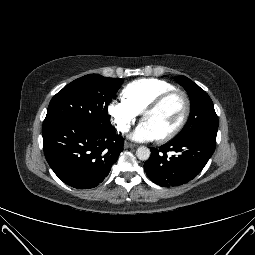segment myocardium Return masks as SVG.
Returning <instances> with one entry per match:
<instances>
[{"label": "myocardium", "instance_id": "obj_1", "mask_svg": "<svg viewBox=\"0 0 255 255\" xmlns=\"http://www.w3.org/2000/svg\"><path fill=\"white\" fill-rule=\"evenodd\" d=\"M174 95H180L183 98V100H184V112H183V115H182L179 123L170 132H168L167 134H165V135H163V136H161L157 139L160 142H166V141H169V140L173 139L184 128L185 124L188 121L190 111H191V101H190L189 95L184 90L178 89V88L166 91V92L160 94L158 97H156L141 112V120H143V118L147 114H149V113L155 111L156 109H158L166 100H168L169 98H171Z\"/></svg>", "mask_w": 255, "mask_h": 255}]
</instances>
